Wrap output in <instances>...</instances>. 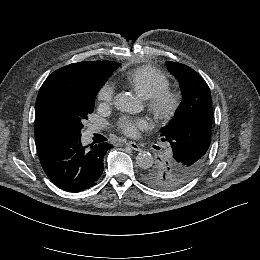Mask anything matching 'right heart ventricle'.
Returning a JSON list of instances; mask_svg holds the SVG:
<instances>
[{
  "label": "right heart ventricle",
  "instance_id": "obj_1",
  "mask_svg": "<svg viewBox=\"0 0 260 260\" xmlns=\"http://www.w3.org/2000/svg\"><path fill=\"white\" fill-rule=\"evenodd\" d=\"M127 83L145 99H149L169 87L168 78L150 68L134 70L128 75Z\"/></svg>",
  "mask_w": 260,
  "mask_h": 260
}]
</instances>
